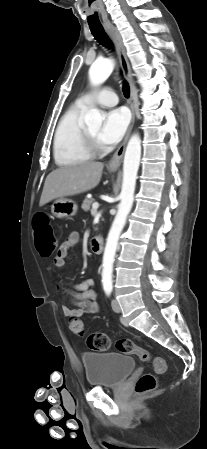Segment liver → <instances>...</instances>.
Segmentation results:
<instances>
[{
    "label": "liver",
    "instance_id": "obj_1",
    "mask_svg": "<svg viewBox=\"0 0 207 449\" xmlns=\"http://www.w3.org/2000/svg\"><path fill=\"white\" fill-rule=\"evenodd\" d=\"M103 167L100 162H85L52 171L45 180L39 206L56 198L77 195L95 188L100 182Z\"/></svg>",
    "mask_w": 207,
    "mask_h": 449
}]
</instances>
